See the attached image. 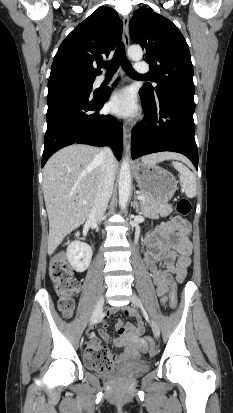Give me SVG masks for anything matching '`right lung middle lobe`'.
Returning a JSON list of instances; mask_svg holds the SVG:
<instances>
[{
    "label": "right lung middle lobe",
    "instance_id": "obj_1",
    "mask_svg": "<svg viewBox=\"0 0 233 413\" xmlns=\"http://www.w3.org/2000/svg\"><path fill=\"white\" fill-rule=\"evenodd\" d=\"M94 78H80V77H65L53 81H48V88L63 85V84H73L85 88L87 91L92 92ZM98 93L94 91V94Z\"/></svg>",
    "mask_w": 233,
    "mask_h": 413
}]
</instances>
